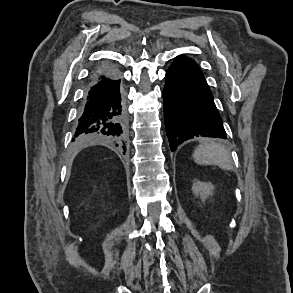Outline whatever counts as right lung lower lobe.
Segmentation results:
<instances>
[{"mask_svg": "<svg viewBox=\"0 0 293 293\" xmlns=\"http://www.w3.org/2000/svg\"><path fill=\"white\" fill-rule=\"evenodd\" d=\"M127 130L118 72L111 65L104 64L90 77V86L79 109L74 137L82 143L110 142L125 150Z\"/></svg>", "mask_w": 293, "mask_h": 293, "instance_id": "right-lung-lower-lobe-1", "label": "right lung lower lobe"}]
</instances>
